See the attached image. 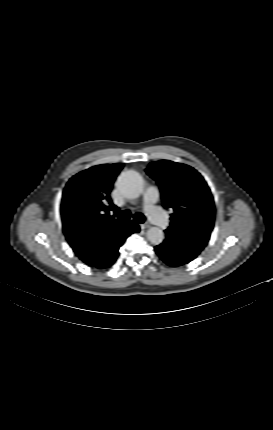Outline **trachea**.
Segmentation results:
<instances>
[{
    "instance_id": "obj_1",
    "label": "trachea",
    "mask_w": 273,
    "mask_h": 430,
    "mask_svg": "<svg viewBox=\"0 0 273 430\" xmlns=\"http://www.w3.org/2000/svg\"><path fill=\"white\" fill-rule=\"evenodd\" d=\"M130 217H131L130 211L129 210H123L122 212H120L118 219L120 222H125V221L129 220ZM134 220L138 223H144L145 217L142 213H136L134 215Z\"/></svg>"
}]
</instances>
